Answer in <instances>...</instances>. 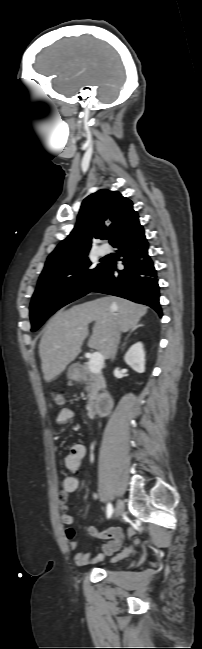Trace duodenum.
Instances as JSON below:
<instances>
[{"mask_svg":"<svg viewBox=\"0 0 202 649\" xmlns=\"http://www.w3.org/2000/svg\"><path fill=\"white\" fill-rule=\"evenodd\" d=\"M111 408H112V400L110 396L106 394H100L95 401V407H94L95 413L101 416H105L109 414Z\"/></svg>","mask_w":202,"mask_h":649,"instance_id":"obj_1","label":"duodenum"}]
</instances>
